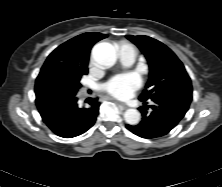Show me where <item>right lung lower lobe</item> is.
Masks as SVG:
<instances>
[{
    "label": "right lung lower lobe",
    "instance_id": "98d812e1",
    "mask_svg": "<svg viewBox=\"0 0 222 187\" xmlns=\"http://www.w3.org/2000/svg\"><path fill=\"white\" fill-rule=\"evenodd\" d=\"M75 90L58 69L44 68L36 80V105L43 122L56 135L72 138L90 129L99 113L100 102L94 99L88 108H79Z\"/></svg>",
    "mask_w": 222,
    "mask_h": 187
}]
</instances>
